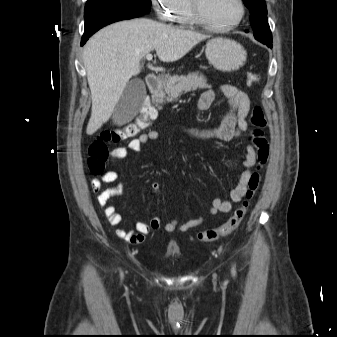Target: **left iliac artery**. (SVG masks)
Wrapping results in <instances>:
<instances>
[{"label":"left iliac artery","instance_id":"1","mask_svg":"<svg viewBox=\"0 0 337 337\" xmlns=\"http://www.w3.org/2000/svg\"><path fill=\"white\" fill-rule=\"evenodd\" d=\"M232 274L235 276V274H236V271H235V268L233 267L232 268Z\"/></svg>","mask_w":337,"mask_h":337}]
</instances>
